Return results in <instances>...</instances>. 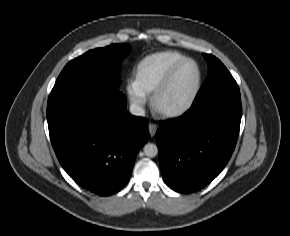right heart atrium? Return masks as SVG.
Masks as SVG:
<instances>
[{
  "label": "right heart atrium",
  "instance_id": "d8ad5b80",
  "mask_svg": "<svg viewBox=\"0 0 290 236\" xmlns=\"http://www.w3.org/2000/svg\"><path fill=\"white\" fill-rule=\"evenodd\" d=\"M126 91L132 105L137 110H142L147 103V93L135 81L128 82Z\"/></svg>",
  "mask_w": 290,
  "mask_h": 236
}]
</instances>
